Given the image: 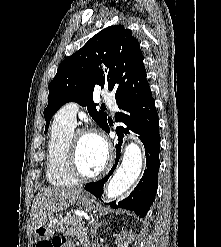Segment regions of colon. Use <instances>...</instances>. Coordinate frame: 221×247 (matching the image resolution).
Here are the masks:
<instances>
[{
    "label": "colon",
    "mask_w": 221,
    "mask_h": 247,
    "mask_svg": "<svg viewBox=\"0 0 221 247\" xmlns=\"http://www.w3.org/2000/svg\"><path fill=\"white\" fill-rule=\"evenodd\" d=\"M63 240L60 238H53L52 240L40 241L36 247H60Z\"/></svg>",
    "instance_id": "5ec220e1"
}]
</instances>
